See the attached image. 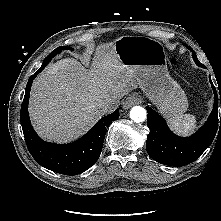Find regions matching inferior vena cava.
<instances>
[{
    "mask_svg": "<svg viewBox=\"0 0 221 221\" xmlns=\"http://www.w3.org/2000/svg\"><path fill=\"white\" fill-rule=\"evenodd\" d=\"M119 102L116 100H108L106 102L102 103V109L104 111V113H111L113 112L115 109L118 108Z\"/></svg>",
    "mask_w": 221,
    "mask_h": 221,
    "instance_id": "inferior-vena-cava-1",
    "label": "inferior vena cava"
}]
</instances>
